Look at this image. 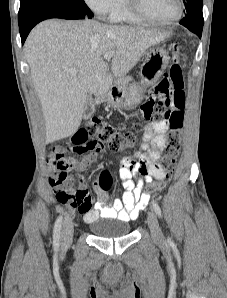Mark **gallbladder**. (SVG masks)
I'll return each instance as SVG.
<instances>
[{
	"label": "gallbladder",
	"mask_w": 227,
	"mask_h": 298,
	"mask_svg": "<svg viewBox=\"0 0 227 298\" xmlns=\"http://www.w3.org/2000/svg\"><path fill=\"white\" fill-rule=\"evenodd\" d=\"M94 112H95V104L89 98H87L86 106L84 110V118L85 119L90 118L94 114Z\"/></svg>",
	"instance_id": "obj_1"
}]
</instances>
